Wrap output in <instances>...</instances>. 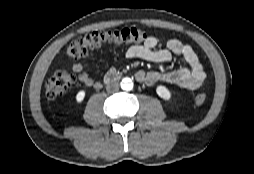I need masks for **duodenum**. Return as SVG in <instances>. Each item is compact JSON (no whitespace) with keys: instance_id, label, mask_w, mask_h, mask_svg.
<instances>
[{"instance_id":"duodenum-1","label":"duodenum","mask_w":254,"mask_h":174,"mask_svg":"<svg viewBox=\"0 0 254 174\" xmlns=\"http://www.w3.org/2000/svg\"><path fill=\"white\" fill-rule=\"evenodd\" d=\"M118 78H119V75H118L117 71H116V70H111V71H109V72L106 74V76H105V78H104V83H105V84L113 83V82H115L116 80H118Z\"/></svg>"}]
</instances>
